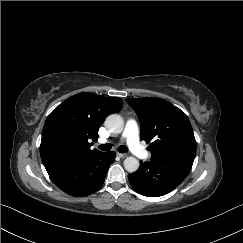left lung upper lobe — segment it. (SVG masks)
<instances>
[{
  "mask_svg": "<svg viewBox=\"0 0 243 243\" xmlns=\"http://www.w3.org/2000/svg\"><path fill=\"white\" fill-rule=\"evenodd\" d=\"M141 124V140L150 143L151 161L172 155H195L196 140L188 117L161 98L126 99Z\"/></svg>",
  "mask_w": 243,
  "mask_h": 243,
  "instance_id": "left-lung-upper-lobe-1",
  "label": "left lung upper lobe"
}]
</instances>
